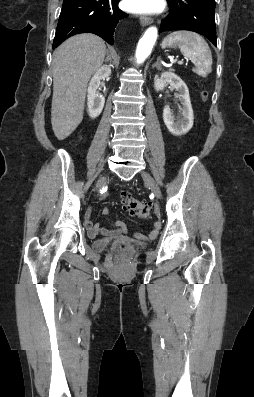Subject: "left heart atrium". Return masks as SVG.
<instances>
[{"instance_id":"39dd6f15","label":"left heart atrium","mask_w":254,"mask_h":397,"mask_svg":"<svg viewBox=\"0 0 254 397\" xmlns=\"http://www.w3.org/2000/svg\"><path fill=\"white\" fill-rule=\"evenodd\" d=\"M127 10L136 13H153L162 7V0H124Z\"/></svg>"}]
</instances>
